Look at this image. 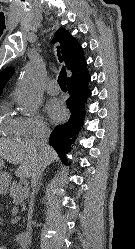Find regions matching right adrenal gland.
Instances as JSON below:
<instances>
[{
	"instance_id": "obj_1",
	"label": "right adrenal gland",
	"mask_w": 135,
	"mask_h": 249,
	"mask_svg": "<svg viewBox=\"0 0 135 249\" xmlns=\"http://www.w3.org/2000/svg\"><path fill=\"white\" fill-rule=\"evenodd\" d=\"M42 179H43V177L41 176L39 183H38V186H37V189H36V192H38L40 190V187L42 186Z\"/></svg>"
}]
</instances>
